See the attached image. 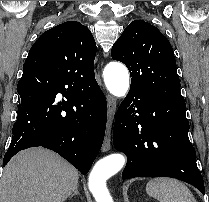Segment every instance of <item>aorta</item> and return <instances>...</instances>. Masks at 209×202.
<instances>
[{"label": "aorta", "instance_id": "762f6f07", "mask_svg": "<svg viewBox=\"0 0 209 202\" xmlns=\"http://www.w3.org/2000/svg\"><path fill=\"white\" fill-rule=\"evenodd\" d=\"M104 81L108 91L116 96L123 97L129 88V72L118 62L109 63L103 72ZM125 164V157L119 153L110 154L99 160L93 167L89 179V190L96 202H113L106 181L117 173Z\"/></svg>", "mask_w": 209, "mask_h": 202}]
</instances>
